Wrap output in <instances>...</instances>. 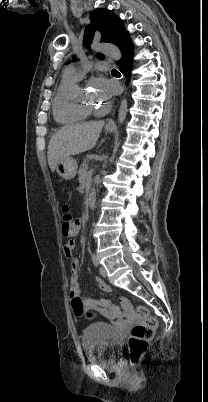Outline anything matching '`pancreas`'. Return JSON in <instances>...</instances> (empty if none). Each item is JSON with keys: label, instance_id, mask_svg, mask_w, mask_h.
Wrapping results in <instances>:
<instances>
[{"label": "pancreas", "instance_id": "pancreas-1", "mask_svg": "<svg viewBox=\"0 0 208 402\" xmlns=\"http://www.w3.org/2000/svg\"><path fill=\"white\" fill-rule=\"evenodd\" d=\"M91 158H92V156H87V158H85L84 162H82V164H81L80 170H85V168H88L87 162H89V160H91Z\"/></svg>", "mask_w": 208, "mask_h": 402}]
</instances>
